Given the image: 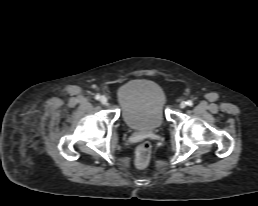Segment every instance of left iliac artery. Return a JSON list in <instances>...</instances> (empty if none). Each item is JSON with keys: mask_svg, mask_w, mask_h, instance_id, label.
<instances>
[{"mask_svg": "<svg viewBox=\"0 0 258 206\" xmlns=\"http://www.w3.org/2000/svg\"><path fill=\"white\" fill-rule=\"evenodd\" d=\"M186 103H187L188 106H192L193 105V102L191 100H188Z\"/></svg>", "mask_w": 258, "mask_h": 206, "instance_id": "44dca946", "label": "left iliac artery"}]
</instances>
